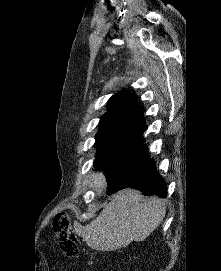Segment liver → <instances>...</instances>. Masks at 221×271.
Masks as SVG:
<instances>
[{"label": "liver", "mask_w": 221, "mask_h": 271, "mask_svg": "<svg viewBox=\"0 0 221 271\" xmlns=\"http://www.w3.org/2000/svg\"><path fill=\"white\" fill-rule=\"evenodd\" d=\"M93 189L102 193L107 181L103 173H93ZM166 213L159 197H144L138 189H122L113 195L101 213L76 231L92 249L112 251L130 241H143L161 223Z\"/></svg>", "instance_id": "1"}]
</instances>
